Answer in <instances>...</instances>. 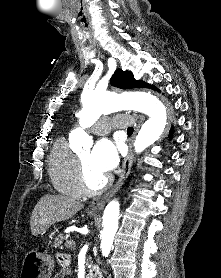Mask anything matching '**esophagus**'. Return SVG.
Wrapping results in <instances>:
<instances>
[{"label": "esophagus", "instance_id": "34e87169", "mask_svg": "<svg viewBox=\"0 0 221 278\" xmlns=\"http://www.w3.org/2000/svg\"><path fill=\"white\" fill-rule=\"evenodd\" d=\"M144 120V117L143 116H140L139 117V123ZM138 130V128L136 129V131ZM133 160H134V155H133V149H132V146L130 145V149H129V152H128V155L125 157L124 161H123V171H122V174L120 175V178L119 180L117 181V183L115 184L114 188L111 189L108 193L100 196V197H97V198H94L90 204H89V208L93 211H100L103 206H104V203L106 202V200L111 196L113 195L119 188L120 186L122 185V183L124 182V180L126 179V177L128 176L129 174V171L131 169V166H132V163H133Z\"/></svg>", "mask_w": 221, "mask_h": 278}]
</instances>
